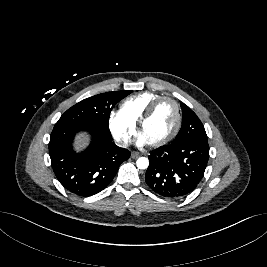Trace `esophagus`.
Listing matches in <instances>:
<instances>
[{
  "label": "esophagus",
  "instance_id": "obj_1",
  "mask_svg": "<svg viewBox=\"0 0 267 267\" xmlns=\"http://www.w3.org/2000/svg\"><path fill=\"white\" fill-rule=\"evenodd\" d=\"M139 156H140V155H139V153H137V152H132V153H131V157H132V159H137Z\"/></svg>",
  "mask_w": 267,
  "mask_h": 267
}]
</instances>
